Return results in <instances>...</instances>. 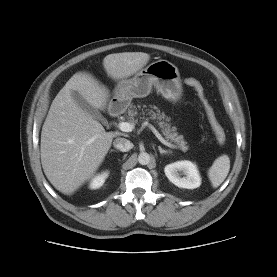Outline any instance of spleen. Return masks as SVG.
<instances>
[{
  "mask_svg": "<svg viewBox=\"0 0 277 277\" xmlns=\"http://www.w3.org/2000/svg\"><path fill=\"white\" fill-rule=\"evenodd\" d=\"M230 170L228 155L219 156L208 170L209 180L214 188H217L226 179Z\"/></svg>",
  "mask_w": 277,
  "mask_h": 277,
  "instance_id": "obj_1",
  "label": "spleen"
}]
</instances>
